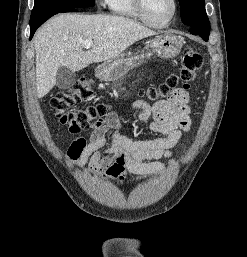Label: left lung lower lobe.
I'll list each match as a JSON object with an SVG mask.
<instances>
[{
    "label": "left lung lower lobe",
    "mask_w": 247,
    "mask_h": 257,
    "mask_svg": "<svg viewBox=\"0 0 247 257\" xmlns=\"http://www.w3.org/2000/svg\"><path fill=\"white\" fill-rule=\"evenodd\" d=\"M189 31L193 35H200L204 41H208L210 31H206L203 28L197 26L189 27Z\"/></svg>",
    "instance_id": "0a47b994"
}]
</instances>
